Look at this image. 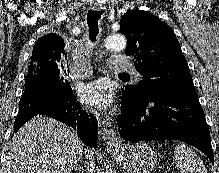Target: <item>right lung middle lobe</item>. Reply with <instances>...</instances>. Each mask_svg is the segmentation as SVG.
<instances>
[{
	"label": "right lung middle lobe",
	"instance_id": "dd1d6c3e",
	"mask_svg": "<svg viewBox=\"0 0 219 173\" xmlns=\"http://www.w3.org/2000/svg\"><path fill=\"white\" fill-rule=\"evenodd\" d=\"M66 76V70L59 64L49 62L30 63L25 79V89L36 83L40 78H47L54 80L64 92L68 93L72 91V89Z\"/></svg>",
	"mask_w": 219,
	"mask_h": 173
}]
</instances>
